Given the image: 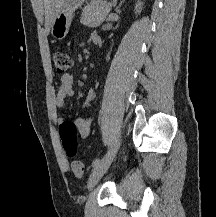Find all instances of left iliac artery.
<instances>
[{"instance_id": "left-iliac-artery-1", "label": "left iliac artery", "mask_w": 216, "mask_h": 217, "mask_svg": "<svg viewBox=\"0 0 216 217\" xmlns=\"http://www.w3.org/2000/svg\"><path fill=\"white\" fill-rule=\"evenodd\" d=\"M101 163V160L99 158L95 159L93 162H92V166L93 167H96L98 166L99 164Z\"/></svg>"}]
</instances>
